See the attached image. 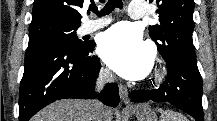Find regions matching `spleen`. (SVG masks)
I'll return each mask as SVG.
<instances>
[{
  "instance_id": "3e777b00",
  "label": "spleen",
  "mask_w": 217,
  "mask_h": 121,
  "mask_svg": "<svg viewBox=\"0 0 217 121\" xmlns=\"http://www.w3.org/2000/svg\"><path fill=\"white\" fill-rule=\"evenodd\" d=\"M161 121H187V119L174 111H161Z\"/></svg>"
}]
</instances>
